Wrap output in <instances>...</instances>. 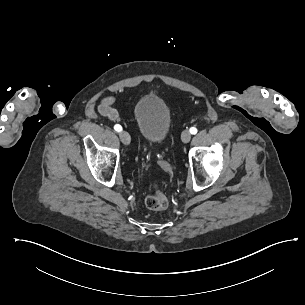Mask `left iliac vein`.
Wrapping results in <instances>:
<instances>
[{
  "instance_id": "4c4485c4",
  "label": "left iliac vein",
  "mask_w": 305,
  "mask_h": 305,
  "mask_svg": "<svg viewBox=\"0 0 305 305\" xmlns=\"http://www.w3.org/2000/svg\"><path fill=\"white\" fill-rule=\"evenodd\" d=\"M181 138L184 143H188L191 139V133L188 130H185L182 132Z\"/></svg>"
}]
</instances>
